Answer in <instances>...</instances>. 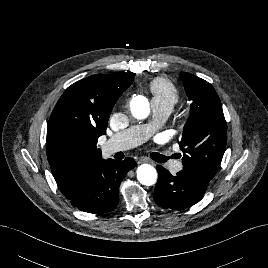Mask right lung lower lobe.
Instances as JSON below:
<instances>
[{"label":"right lung lower lobe","instance_id":"obj_1","mask_svg":"<svg viewBox=\"0 0 268 268\" xmlns=\"http://www.w3.org/2000/svg\"><path fill=\"white\" fill-rule=\"evenodd\" d=\"M136 165L131 158L124 161H102L92 168L78 192L69 198L71 204L94 214L113 210L118 205L121 181Z\"/></svg>","mask_w":268,"mask_h":268}]
</instances>
